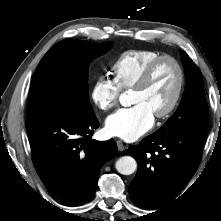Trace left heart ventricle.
I'll return each mask as SVG.
<instances>
[{
	"label": "left heart ventricle",
	"instance_id": "left-heart-ventricle-1",
	"mask_svg": "<svg viewBox=\"0 0 221 221\" xmlns=\"http://www.w3.org/2000/svg\"><path fill=\"white\" fill-rule=\"evenodd\" d=\"M178 82V73L170 62L160 64L147 85L132 90L131 103L143 104L155 115L163 111L171 102Z\"/></svg>",
	"mask_w": 221,
	"mask_h": 221
}]
</instances>
